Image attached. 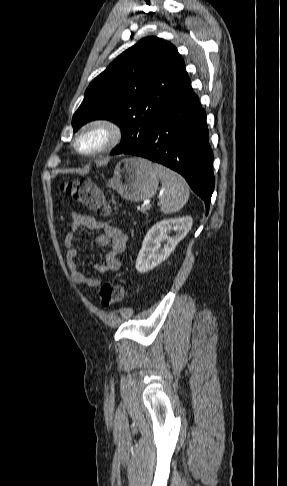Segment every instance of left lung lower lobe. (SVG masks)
Segmentation results:
<instances>
[{"label":"left lung lower lobe","mask_w":287,"mask_h":486,"mask_svg":"<svg viewBox=\"0 0 287 486\" xmlns=\"http://www.w3.org/2000/svg\"><path fill=\"white\" fill-rule=\"evenodd\" d=\"M124 154L147 158L183 175L208 211L215 184L213 152L206 113L191 82L152 126L145 141Z\"/></svg>","instance_id":"left-lung-lower-lobe-1"}]
</instances>
